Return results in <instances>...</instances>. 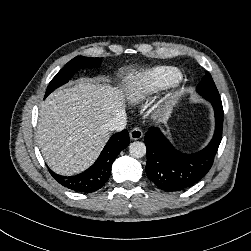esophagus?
<instances>
[{
	"mask_svg": "<svg viewBox=\"0 0 251 251\" xmlns=\"http://www.w3.org/2000/svg\"><path fill=\"white\" fill-rule=\"evenodd\" d=\"M143 136V132L139 127H134L131 131H130V138L132 140H139L141 139Z\"/></svg>",
	"mask_w": 251,
	"mask_h": 251,
	"instance_id": "34e87169",
	"label": "esophagus"
}]
</instances>
